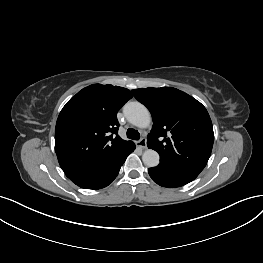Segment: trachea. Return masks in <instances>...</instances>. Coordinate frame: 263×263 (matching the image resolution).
I'll list each match as a JSON object with an SVG mask.
<instances>
[{"label":"trachea","instance_id":"1","mask_svg":"<svg viewBox=\"0 0 263 263\" xmlns=\"http://www.w3.org/2000/svg\"><path fill=\"white\" fill-rule=\"evenodd\" d=\"M127 138L133 139V140H139L140 139V134L137 130L133 128H128L127 130Z\"/></svg>","mask_w":263,"mask_h":263}]
</instances>
